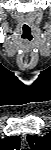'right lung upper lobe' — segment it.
<instances>
[{
	"label": "right lung upper lobe",
	"instance_id": "right-lung-upper-lobe-1",
	"mask_svg": "<svg viewBox=\"0 0 51 150\" xmlns=\"http://www.w3.org/2000/svg\"><path fill=\"white\" fill-rule=\"evenodd\" d=\"M20 138L18 136H11L0 140L1 150L19 149Z\"/></svg>",
	"mask_w": 51,
	"mask_h": 150
}]
</instances>
